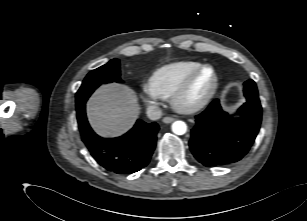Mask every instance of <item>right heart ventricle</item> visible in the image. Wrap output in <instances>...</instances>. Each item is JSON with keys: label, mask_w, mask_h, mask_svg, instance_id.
I'll return each mask as SVG.
<instances>
[{"label": "right heart ventricle", "mask_w": 307, "mask_h": 221, "mask_svg": "<svg viewBox=\"0 0 307 221\" xmlns=\"http://www.w3.org/2000/svg\"><path fill=\"white\" fill-rule=\"evenodd\" d=\"M202 65L198 61H180L162 66L149 76L146 90L155 98L168 99Z\"/></svg>", "instance_id": "obj_1"}]
</instances>
